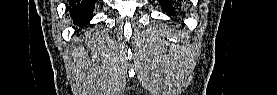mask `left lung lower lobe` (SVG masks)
Listing matches in <instances>:
<instances>
[{"instance_id": "1", "label": "left lung lower lobe", "mask_w": 277, "mask_h": 95, "mask_svg": "<svg viewBox=\"0 0 277 95\" xmlns=\"http://www.w3.org/2000/svg\"><path fill=\"white\" fill-rule=\"evenodd\" d=\"M159 3L162 4V11L172 16L175 15L177 10H180L182 1L181 0H160Z\"/></svg>"}]
</instances>
